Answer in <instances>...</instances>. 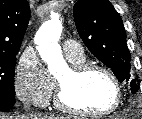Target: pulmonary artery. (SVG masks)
Instances as JSON below:
<instances>
[{
    "instance_id": "obj_1",
    "label": "pulmonary artery",
    "mask_w": 142,
    "mask_h": 119,
    "mask_svg": "<svg viewBox=\"0 0 142 119\" xmlns=\"http://www.w3.org/2000/svg\"><path fill=\"white\" fill-rule=\"evenodd\" d=\"M63 50L67 58H77L83 55L81 46L74 40H65Z\"/></svg>"
}]
</instances>
